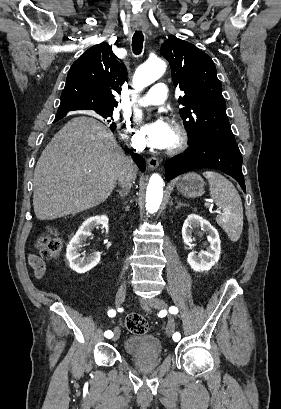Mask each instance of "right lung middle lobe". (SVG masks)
<instances>
[{"label": "right lung middle lobe", "mask_w": 281, "mask_h": 409, "mask_svg": "<svg viewBox=\"0 0 281 409\" xmlns=\"http://www.w3.org/2000/svg\"><path fill=\"white\" fill-rule=\"evenodd\" d=\"M112 112L113 111H102V112H97L100 114L102 117L107 118V117H112Z\"/></svg>", "instance_id": "1"}]
</instances>
